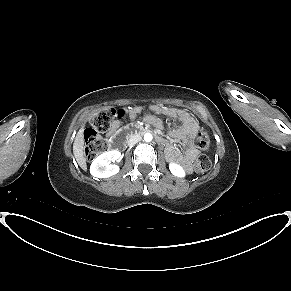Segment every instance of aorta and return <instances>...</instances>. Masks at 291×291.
<instances>
[{"mask_svg": "<svg viewBox=\"0 0 291 291\" xmlns=\"http://www.w3.org/2000/svg\"><path fill=\"white\" fill-rule=\"evenodd\" d=\"M152 139H153V136H152L151 133H145V135H144V140H145L146 142H151Z\"/></svg>", "mask_w": 291, "mask_h": 291, "instance_id": "1", "label": "aorta"}]
</instances>
